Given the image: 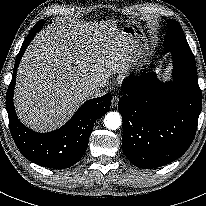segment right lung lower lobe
Here are the masks:
<instances>
[{
	"instance_id": "right-lung-lower-lobe-1",
	"label": "right lung lower lobe",
	"mask_w": 206,
	"mask_h": 206,
	"mask_svg": "<svg viewBox=\"0 0 206 206\" xmlns=\"http://www.w3.org/2000/svg\"><path fill=\"white\" fill-rule=\"evenodd\" d=\"M41 28L42 26L35 25L31 29L16 57L12 80L6 95L9 128L18 149L25 158L43 167L65 169L73 166L83 157L95 121L110 110L111 94L85 102L58 130L37 133L22 124L13 105L16 73L25 49Z\"/></svg>"
}]
</instances>
